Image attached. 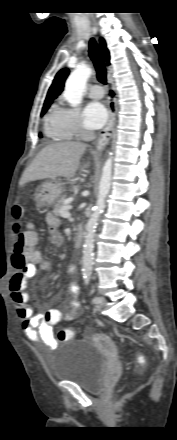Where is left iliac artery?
<instances>
[{
  "label": "left iliac artery",
  "instance_id": "left-iliac-artery-1",
  "mask_svg": "<svg viewBox=\"0 0 177 440\" xmlns=\"http://www.w3.org/2000/svg\"><path fill=\"white\" fill-rule=\"evenodd\" d=\"M84 280H85V284H88L89 281H90V276H89V275L84 276ZM100 301H101V298H100V297H94V298L92 299V302H93L94 304H97V303H99Z\"/></svg>",
  "mask_w": 177,
  "mask_h": 440
}]
</instances>
